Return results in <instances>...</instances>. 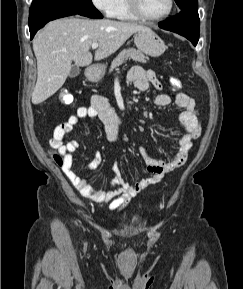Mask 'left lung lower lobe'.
I'll list each match as a JSON object with an SVG mask.
<instances>
[{
    "label": "left lung lower lobe",
    "mask_w": 243,
    "mask_h": 289,
    "mask_svg": "<svg viewBox=\"0 0 243 289\" xmlns=\"http://www.w3.org/2000/svg\"><path fill=\"white\" fill-rule=\"evenodd\" d=\"M158 25L162 29L172 31L186 37L193 43L194 46H196L198 43L199 16L197 8L182 10L173 18L167 21L159 22Z\"/></svg>",
    "instance_id": "left-lung-lower-lobe-1"
}]
</instances>
